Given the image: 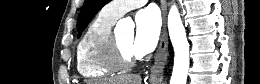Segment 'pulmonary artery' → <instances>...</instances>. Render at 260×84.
<instances>
[{
    "mask_svg": "<svg viewBox=\"0 0 260 84\" xmlns=\"http://www.w3.org/2000/svg\"><path fill=\"white\" fill-rule=\"evenodd\" d=\"M145 3L146 1L143 0L111 1L104 7V11L108 16L117 20L129 10L140 7Z\"/></svg>",
    "mask_w": 260,
    "mask_h": 84,
    "instance_id": "e3ab8cb5",
    "label": "pulmonary artery"
}]
</instances>
